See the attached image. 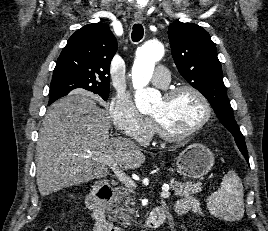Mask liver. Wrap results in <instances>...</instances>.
Instances as JSON below:
<instances>
[{
	"label": "liver",
	"mask_w": 268,
	"mask_h": 231,
	"mask_svg": "<svg viewBox=\"0 0 268 231\" xmlns=\"http://www.w3.org/2000/svg\"><path fill=\"white\" fill-rule=\"evenodd\" d=\"M108 112L84 92H75L47 110L36 147V180L41 196L109 174L95 160L110 155L123 171L140 167L145 156L125 138H110Z\"/></svg>",
	"instance_id": "1"
}]
</instances>
